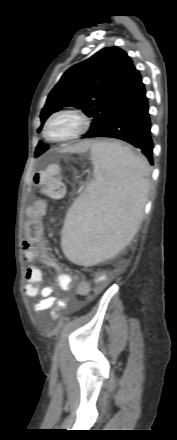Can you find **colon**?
<instances>
[{
	"label": "colon",
	"mask_w": 177,
	"mask_h": 440,
	"mask_svg": "<svg viewBox=\"0 0 177 440\" xmlns=\"http://www.w3.org/2000/svg\"><path fill=\"white\" fill-rule=\"evenodd\" d=\"M34 183L41 188L42 193L51 199H60L65 194V186L61 179V169L57 165L50 166L44 171L34 174ZM101 284L97 283L95 292H99Z\"/></svg>",
	"instance_id": "colon-1"
}]
</instances>
